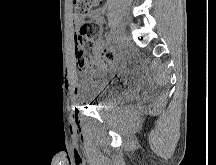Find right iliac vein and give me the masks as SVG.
<instances>
[{
    "mask_svg": "<svg viewBox=\"0 0 216 165\" xmlns=\"http://www.w3.org/2000/svg\"><path fill=\"white\" fill-rule=\"evenodd\" d=\"M114 35H115V40L117 43H121L126 37L125 31L121 26L116 28Z\"/></svg>",
    "mask_w": 216,
    "mask_h": 165,
    "instance_id": "1",
    "label": "right iliac vein"
}]
</instances>
